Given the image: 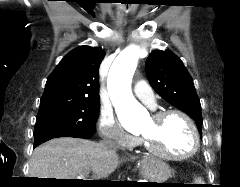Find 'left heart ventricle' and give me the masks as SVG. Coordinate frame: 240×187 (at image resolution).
<instances>
[{
    "label": "left heart ventricle",
    "mask_w": 240,
    "mask_h": 187,
    "mask_svg": "<svg viewBox=\"0 0 240 187\" xmlns=\"http://www.w3.org/2000/svg\"><path fill=\"white\" fill-rule=\"evenodd\" d=\"M139 133L148 137L157 150L170 154H184L192 146L188 126L176 115H170L161 121L151 118L143 123Z\"/></svg>",
    "instance_id": "obj_1"
}]
</instances>
